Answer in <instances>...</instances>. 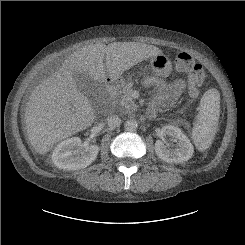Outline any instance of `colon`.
Returning a JSON list of instances; mask_svg holds the SVG:
<instances>
[{
  "label": "colon",
  "instance_id": "1",
  "mask_svg": "<svg viewBox=\"0 0 245 245\" xmlns=\"http://www.w3.org/2000/svg\"><path fill=\"white\" fill-rule=\"evenodd\" d=\"M176 68L187 74V92L196 98L200 94V87L205 79V72L201 64L195 62L187 51H180L175 58Z\"/></svg>",
  "mask_w": 245,
  "mask_h": 245
}]
</instances>
